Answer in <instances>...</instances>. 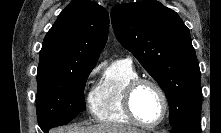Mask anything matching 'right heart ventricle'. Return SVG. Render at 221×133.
Masks as SVG:
<instances>
[{
	"instance_id": "e07e8e85",
	"label": "right heart ventricle",
	"mask_w": 221,
	"mask_h": 133,
	"mask_svg": "<svg viewBox=\"0 0 221 133\" xmlns=\"http://www.w3.org/2000/svg\"><path fill=\"white\" fill-rule=\"evenodd\" d=\"M137 78L139 74L128 60H118L108 66L90 96L92 116L106 124L133 123L124 109V92Z\"/></svg>"
}]
</instances>
